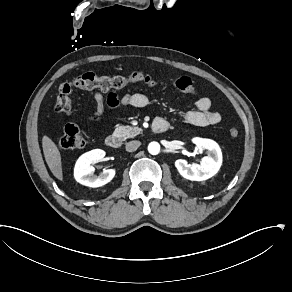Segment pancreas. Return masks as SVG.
I'll return each mask as SVG.
<instances>
[{
  "label": "pancreas",
  "instance_id": "cf45deb5",
  "mask_svg": "<svg viewBox=\"0 0 292 292\" xmlns=\"http://www.w3.org/2000/svg\"><path fill=\"white\" fill-rule=\"evenodd\" d=\"M142 130L138 127L130 126H118L114 131V136L120 140H126L128 138H134L140 134Z\"/></svg>",
  "mask_w": 292,
  "mask_h": 292
}]
</instances>
